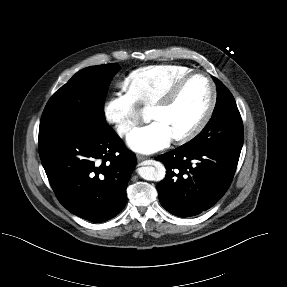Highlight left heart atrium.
<instances>
[{
	"label": "left heart atrium",
	"mask_w": 287,
	"mask_h": 287,
	"mask_svg": "<svg viewBox=\"0 0 287 287\" xmlns=\"http://www.w3.org/2000/svg\"><path fill=\"white\" fill-rule=\"evenodd\" d=\"M173 138L170 130L160 121L136 128L128 136L129 147L140 153H153L166 148Z\"/></svg>",
	"instance_id": "left-heart-atrium-1"
}]
</instances>
